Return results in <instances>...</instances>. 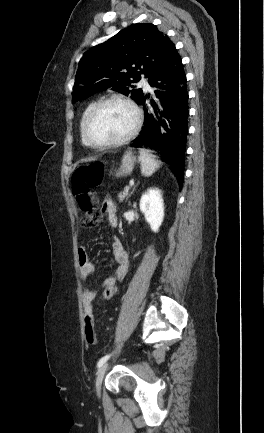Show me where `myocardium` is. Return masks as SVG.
<instances>
[{"label":"myocardium","mask_w":264,"mask_h":433,"mask_svg":"<svg viewBox=\"0 0 264 433\" xmlns=\"http://www.w3.org/2000/svg\"><path fill=\"white\" fill-rule=\"evenodd\" d=\"M109 103H120L127 106L134 115V123L131 129L128 131V133H126L123 137L111 141L96 142L88 134L89 121L99 108ZM141 125H142L141 110L132 100L123 96H109L98 100L90 107V109L87 111L83 119L81 131H82L83 139L85 140L86 144H88L89 146L95 148H108V147H117L130 141L138 133Z\"/></svg>","instance_id":"f54148a6"}]
</instances>
